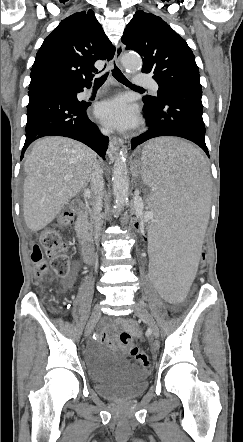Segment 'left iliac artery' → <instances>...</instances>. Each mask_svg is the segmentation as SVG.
Masks as SVG:
<instances>
[{
  "instance_id": "1",
  "label": "left iliac artery",
  "mask_w": 243,
  "mask_h": 442,
  "mask_svg": "<svg viewBox=\"0 0 243 442\" xmlns=\"http://www.w3.org/2000/svg\"><path fill=\"white\" fill-rule=\"evenodd\" d=\"M141 303H142L143 305H145L144 301H141Z\"/></svg>"
}]
</instances>
